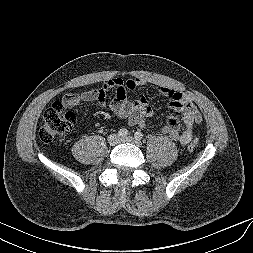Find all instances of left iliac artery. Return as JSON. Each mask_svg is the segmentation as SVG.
<instances>
[{
	"instance_id": "44dca946",
	"label": "left iliac artery",
	"mask_w": 253,
	"mask_h": 253,
	"mask_svg": "<svg viewBox=\"0 0 253 253\" xmlns=\"http://www.w3.org/2000/svg\"><path fill=\"white\" fill-rule=\"evenodd\" d=\"M134 137H135L136 140L142 141V139H143V134H142L140 131H138V132H136V133L134 134Z\"/></svg>"
}]
</instances>
